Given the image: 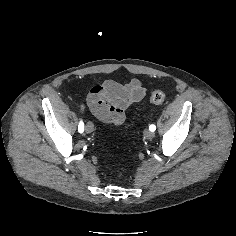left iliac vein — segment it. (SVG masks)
Wrapping results in <instances>:
<instances>
[{"instance_id":"obj_1","label":"left iliac vein","mask_w":236,"mask_h":236,"mask_svg":"<svg viewBox=\"0 0 236 236\" xmlns=\"http://www.w3.org/2000/svg\"><path fill=\"white\" fill-rule=\"evenodd\" d=\"M155 136L154 132L153 131H150V130H145L144 131V137L148 140H151L153 139Z\"/></svg>"}]
</instances>
